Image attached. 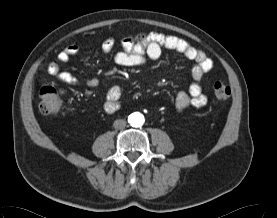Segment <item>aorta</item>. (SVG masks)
<instances>
[{
  "mask_svg": "<svg viewBox=\"0 0 277 218\" xmlns=\"http://www.w3.org/2000/svg\"><path fill=\"white\" fill-rule=\"evenodd\" d=\"M128 120L131 126L140 127L144 123V116L139 112H134L129 116Z\"/></svg>",
  "mask_w": 277,
  "mask_h": 218,
  "instance_id": "aorta-1",
  "label": "aorta"
}]
</instances>
